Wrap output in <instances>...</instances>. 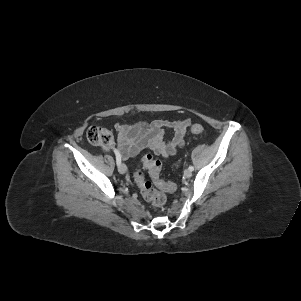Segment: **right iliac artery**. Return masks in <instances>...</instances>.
<instances>
[{
  "label": "right iliac artery",
  "mask_w": 301,
  "mask_h": 301,
  "mask_svg": "<svg viewBox=\"0 0 301 301\" xmlns=\"http://www.w3.org/2000/svg\"><path fill=\"white\" fill-rule=\"evenodd\" d=\"M114 153L116 155V162H117V165H119L121 163V155L120 153L118 152V150L114 149Z\"/></svg>",
  "instance_id": "82829eb1"
}]
</instances>
